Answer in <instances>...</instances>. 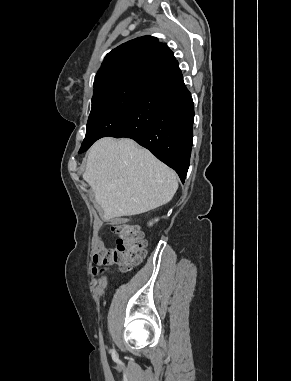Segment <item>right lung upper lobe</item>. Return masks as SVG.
<instances>
[{
    "label": "right lung upper lobe",
    "mask_w": 291,
    "mask_h": 381,
    "mask_svg": "<svg viewBox=\"0 0 291 381\" xmlns=\"http://www.w3.org/2000/svg\"><path fill=\"white\" fill-rule=\"evenodd\" d=\"M176 61L166 44L152 36L130 40L109 52L97 72L94 92L129 78H144Z\"/></svg>",
    "instance_id": "right-lung-upper-lobe-1"
}]
</instances>
